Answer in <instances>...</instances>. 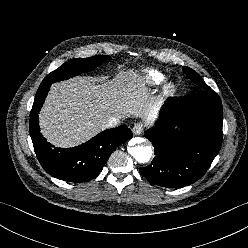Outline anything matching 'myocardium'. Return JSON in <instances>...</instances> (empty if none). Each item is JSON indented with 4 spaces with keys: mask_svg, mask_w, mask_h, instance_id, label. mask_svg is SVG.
<instances>
[{
    "mask_svg": "<svg viewBox=\"0 0 248 248\" xmlns=\"http://www.w3.org/2000/svg\"><path fill=\"white\" fill-rule=\"evenodd\" d=\"M176 91V86L173 82H167L163 87L165 95H172Z\"/></svg>",
    "mask_w": 248,
    "mask_h": 248,
    "instance_id": "myocardium-1",
    "label": "myocardium"
}]
</instances>
